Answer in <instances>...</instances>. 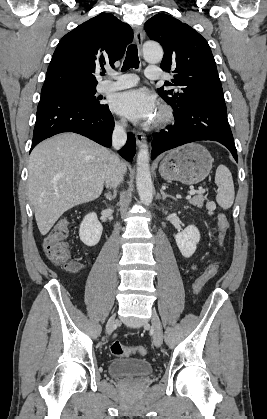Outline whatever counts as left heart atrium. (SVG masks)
Returning a JSON list of instances; mask_svg holds the SVG:
<instances>
[{
    "mask_svg": "<svg viewBox=\"0 0 267 419\" xmlns=\"http://www.w3.org/2000/svg\"><path fill=\"white\" fill-rule=\"evenodd\" d=\"M113 111L127 119L148 122L155 118L157 102L145 89H132L116 94L111 102Z\"/></svg>",
    "mask_w": 267,
    "mask_h": 419,
    "instance_id": "obj_1",
    "label": "left heart atrium"
}]
</instances>
